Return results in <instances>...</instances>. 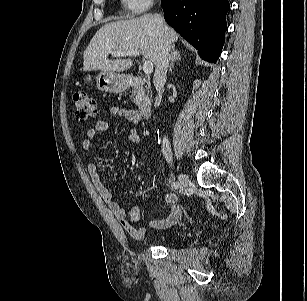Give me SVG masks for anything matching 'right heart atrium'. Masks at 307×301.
Returning <instances> with one entry per match:
<instances>
[{
    "label": "right heart atrium",
    "mask_w": 307,
    "mask_h": 301,
    "mask_svg": "<svg viewBox=\"0 0 307 301\" xmlns=\"http://www.w3.org/2000/svg\"><path fill=\"white\" fill-rule=\"evenodd\" d=\"M125 6L133 12H142L148 9L155 0H123Z\"/></svg>",
    "instance_id": "right-heart-atrium-1"
}]
</instances>
